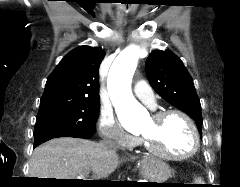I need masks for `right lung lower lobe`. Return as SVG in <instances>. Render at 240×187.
I'll list each match as a JSON object with an SVG mask.
<instances>
[{"mask_svg": "<svg viewBox=\"0 0 240 187\" xmlns=\"http://www.w3.org/2000/svg\"><path fill=\"white\" fill-rule=\"evenodd\" d=\"M57 137H75V138H90V137H82L76 134L68 133V132H61V131H54L42 134L40 136L35 137L34 140V148L40 145L41 143H44L50 139L57 138Z\"/></svg>", "mask_w": 240, "mask_h": 187, "instance_id": "1", "label": "right lung lower lobe"}]
</instances>
